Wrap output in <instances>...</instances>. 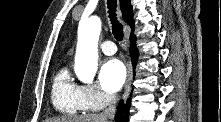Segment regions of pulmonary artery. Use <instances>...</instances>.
I'll list each match as a JSON object with an SVG mask.
<instances>
[{"label": "pulmonary artery", "instance_id": "pulmonary-artery-1", "mask_svg": "<svg viewBox=\"0 0 221 122\" xmlns=\"http://www.w3.org/2000/svg\"><path fill=\"white\" fill-rule=\"evenodd\" d=\"M100 49L106 55H112L117 50L115 44L112 41H109V40L102 42L101 45H100Z\"/></svg>", "mask_w": 221, "mask_h": 122}]
</instances>
